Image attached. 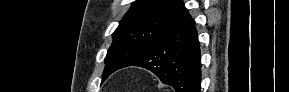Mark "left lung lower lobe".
<instances>
[{
	"mask_svg": "<svg viewBox=\"0 0 289 92\" xmlns=\"http://www.w3.org/2000/svg\"><path fill=\"white\" fill-rule=\"evenodd\" d=\"M127 66L152 71L176 92H200V43L189 12L186 11L124 67Z\"/></svg>",
	"mask_w": 289,
	"mask_h": 92,
	"instance_id": "1",
	"label": "left lung lower lobe"
}]
</instances>
